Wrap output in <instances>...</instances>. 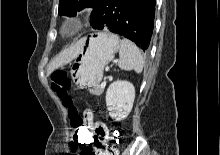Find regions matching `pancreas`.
I'll return each instance as SVG.
<instances>
[{
  "mask_svg": "<svg viewBox=\"0 0 220 155\" xmlns=\"http://www.w3.org/2000/svg\"><path fill=\"white\" fill-rule=\"evenodd\" d=\"M104 89L101 87L96 88L95 90L92 91L93 94L100 96L103 93Z\"/></svg>",
  "mask_w": 220,
  "mask_h": 155,
  "instance_id": "pancreas-1",
  "label": "pancreas"
}]
</instances>
